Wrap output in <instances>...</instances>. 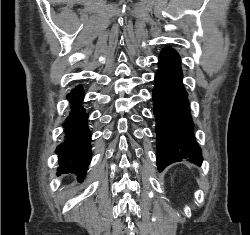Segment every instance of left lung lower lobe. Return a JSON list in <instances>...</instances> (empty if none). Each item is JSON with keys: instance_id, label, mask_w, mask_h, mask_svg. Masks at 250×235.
<instances>
[{"instance_id": "obj_1", "label": "left lung lower lobe", "mask_w": 250, "mask_h": 235, "mask_svg": "<svg viewBox=\"0 0 250 235\" xmlns=\"http://www.w3.org/2000/svg\"><path fill=\"white\" fill-rule=\"evenodd\" d=\"M180 56L165 48L159 56V67L153 89L154 116L157 134V166L162 171L171 163L187 161L200 165L201 148L192 132L187 91L183 85Z\"/></svg>"}]
</instances>
